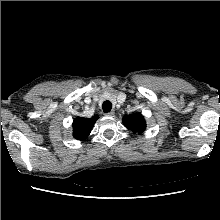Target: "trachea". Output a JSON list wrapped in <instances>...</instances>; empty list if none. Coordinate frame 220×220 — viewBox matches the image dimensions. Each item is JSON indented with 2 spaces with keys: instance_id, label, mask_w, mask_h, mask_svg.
<instances>
[{
  "instance_id": "1",
  "label": "trachea",
  "mask_w": 220,
  "mask_h": 220,
  "mask_svg": "<svg viewBox=\"0 0 220 220\" xmlns=\"http://www.w3.org/2000/svg\"><path fill=\"white\" fill-rule=\"evenodd\" d=\"M102 109L104 112H110V110L112 109V103L110 101H105L102 104Z\"/></svg>"
}]
</instances>
